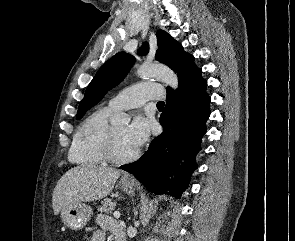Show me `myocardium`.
Masks as SVG:
<instances>
[{"label":"myocardium","instance_id":"obj_1","mask_svg":"<svg viewBox=\"0 0 295 241\" xmlns=\"http://www.w3.org/2000/svg\"><path fill=\"white\" fill-rule=\"evenodd\" d=\"M139 150L127 156H120L116 153L115 149V136L113 127H110L103 145V154L105 159L113 164H124L134 161L139 156Z\"/></svg>","mask_w":295,"mask_h":241}]
</instances>
